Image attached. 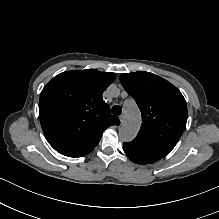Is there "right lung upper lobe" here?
Wrapping results in <instances>:
<instances>
[{"mask_svg":"<svg viewBox=\"0 0 219 219\" xmlns=\"http://www.w3.org/2000/svg\"><path fill=\"white\" fill-rule=\"evenodd\" d=\"M116 75L95 69L58 74L43 88L40 123L49 144L60 154L82 157L99 143L102 133L120 121L102 99Z\"/></svg>","mask_w":219,"mask_h":219,"instance_id":"1","label":"right lung upper lobe"}]
</instances>
